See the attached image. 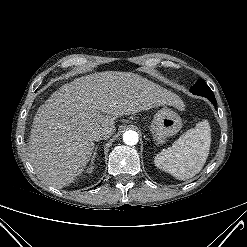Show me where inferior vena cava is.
<instances>
[{
	"mask_svg": "<svg viewBox=\"0 0 247 247\" xmlns=\"http://www.w3.org/2000/svg\"><path fill=\"white\" fill-rule=\"evenodd\" d=\"M105 137L106 133L103 130H95L89 135V138L93 141H100L102 139H105Z\"/></svg>",
	"mask_w": 247,
	"mask_h": 247,
	"instance_id": "obj_1",
	"label": "inferior vena cava"
}]
</instances>
